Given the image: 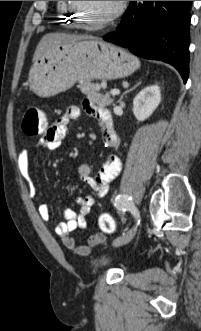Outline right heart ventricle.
<instances>
[{
  "instance_id": "1",
  "label": "right heart ventricle",
  "mask_w": 201,
  "mask_h": 331,
  "mask_svg": "<svg viewBox=\"0 0 201 331\" xmlns=\"http://www.w3.org/2000/svg\"><path fill=\"white\" fill-rule=\"evenodd\" d=\"M57 11L59 19L64 20L62 22L68 23L67 26H76L78 23L76 14L69 6V1H57Z\"/></svg>"
}]
</instances>
